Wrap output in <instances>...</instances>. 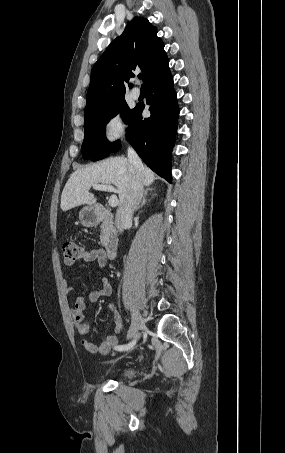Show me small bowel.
Returning <instances> with one entry per match:
<instances>
[{
  "instance_id": "1",
  "label": "small bowel",
  "mask_w": 285,
  "mask_h": 453,
  "mask_svg": "<svg viewBox=\"0 0 285 453\" xmlns=\"http://www.w3.org/2000/svg\"><path fill=\"white\" fill-rule=\"evenodd\" d=\"M81 258L85 262L97 261L99 266H105L107 262V256L103 249L95 248L90 250H85L82 253ZM73 290L72 286H66V291L69 293ZM112 287L106 278H102V286L98 290H91L86 296H79L76 298L74 307L71 310V318L75 330L82 336L86 337L90 333V325L85 320L84 310L86 309V299L90 303H95L102 297H107L111 294ZM108 311L112 314L113 320V329L112 334L106 337V339L101 344H95L88 340L87 338L81 339V344L90 353L106 355L112 349L116 348L118 345L117 335L121 333L123 329V320L120 312L116 306L112 303L108 304Z\"/></svg>"
}]
</instances>
